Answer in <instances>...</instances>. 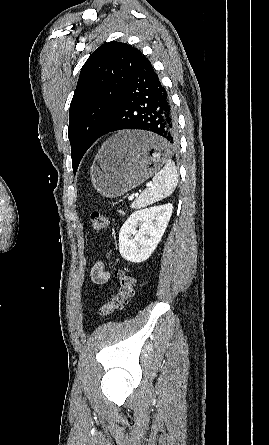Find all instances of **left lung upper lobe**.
I'll use <instances>...</instances> for the list:
<instances>
[{
  "instance_id": "left-lung-upper-lobe-1",
  "label": "left lung upper lobe",
  "mask_w": 269,
  "mask_h": 445,
  "mask_svg": "<svg viewBox=\"0 0 269 445\" xmlns=\"http://www.w3.org/2000/svg\"><path fill=\"white\" fill-rule=\"evenodd\" d=\"M142 57L131 45L109 42L99 46L83 65L69 109L68 137L74 173L112 117Z\"/></svg>"
}]
</instances>
